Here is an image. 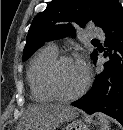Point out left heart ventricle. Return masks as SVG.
Returning a JSON list of instances; mask_svg holds the SVG:
<instances>
[{"instance_id": "left-heart-ventricle-1", "label": "left heart ventricle", "mask_w": 123, "mask_h": 130, "mask_svg": "<svg viewBox=\"0 0 123 130\" xmlns=\"http://www.w3.org/2000/svg\"><path fill=\"white\" fill-rule=\"evenodd\" d=\"M85 77V72L78 67L75 61L63 62L57 71L58 86L65 94H72L79 90Z\"/></svg>"}]
</instances>
